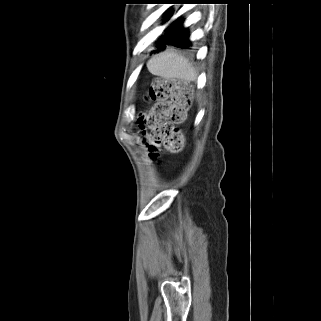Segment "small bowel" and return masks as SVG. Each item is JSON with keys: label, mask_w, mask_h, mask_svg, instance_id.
<instances>
[{"label": "small bowel", "mask_w": 321, "mask_h": 321, "mask_svg": "<svg viewBox=\"0 0 321 321\" xmlns=\"http://www.w3.org/2000/svg\"><path fill=\"white\" fill-rule=\"evenodd\" d=\"M146 121V119L144 117H141L139 119V126H140V129L142 131V133L145 135L146 139H144V141L147 143V145H149V148L151 151H155V147L156 145L154 144L153 140H152V137L151 135H148L145 133V130H144V122Z\"/></svg>", "instance_id": "1"}]
</instances>
